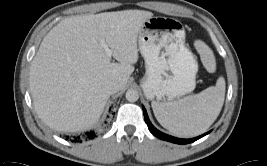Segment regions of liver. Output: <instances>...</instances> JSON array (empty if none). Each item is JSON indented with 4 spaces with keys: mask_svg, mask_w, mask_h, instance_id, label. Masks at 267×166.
Segmentation results:
<instances>
[{
    "mask_svg": "<svg viewBox=\"0 0 267 166\" xmlns=\"http://www.w3.org/2000/svg\"><path fill=\"white\" fill-rule=\"evenodd\" d=\"M153 13L104 12L60 21L44 37L30 68L35 110L52 129L77 132L92 126L109 99L105 86L122 90L138 61L137 41ZM101 39L113 51L111 62Z\"/></svg>",
    "mask_w": 267,
    "mask_h": 166,
    "instance_id": "obj_1",
    "label": "liver"
}]
</instances>
